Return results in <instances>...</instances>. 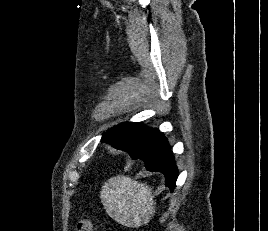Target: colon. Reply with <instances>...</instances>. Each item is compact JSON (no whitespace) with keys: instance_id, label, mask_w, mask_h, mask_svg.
<instances>
[{"instance_id":"1","label":"colon","mask_w":268,"mask_h":231,"mask_svg":"<svg viewBox=\"0 0 268 231\" xmlns=\"http://www.w3.org/2000/svg\"><path fill=\"white\" fill-rule=\"evenodd\" d=\"M77 231H96V228L94 224L87 220V219H81L77 222Z\"/></svg>"}]
</instances>
